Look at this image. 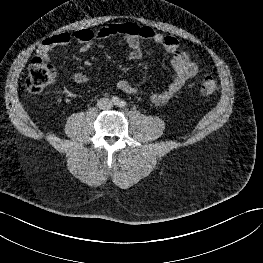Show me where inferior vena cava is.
<instances>
[{
	"label": "inferior vena cava",
	"instance_id": "1",
	"mask_svg": "<svg viewBox=\"0 0 263 263\" xmlns=\"http://www.w3.org/2000/svg\"><path fill=\"white\" fill-rule=\"evenodd\" d=\"M97 107L102 110L111 109L112 102L108 98H100L97 102Z\"/></svg>",
	"mask_w": 263,
	"mask_h": 263
}]
</instances>
